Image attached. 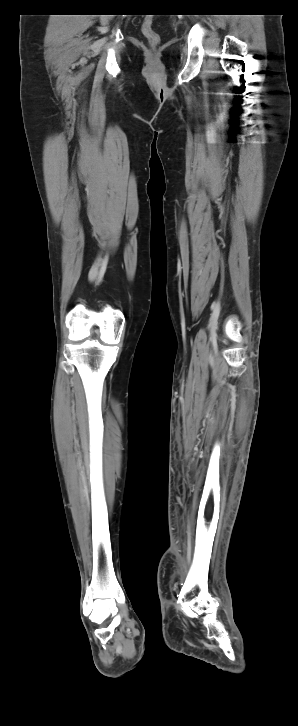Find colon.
I'll return each mask as SVG.
<instances>
[{
	"mask_svg": "<svg viewBox=\"0 0 298 726\" xmlns=\"http://www.w3.org/2000/svg\"><path fill=\"white\" fill-rule=\"evenodd\" d=\"M142 33L151 44H156L159 41V35L154 30L152 21L145 19L142 24Z\"/></svg>",
	"mask_w": 298,
	"mask_h": 726,
	"instance_id": "5ec220e1",
	"label": "colon"
}]
</instances>
